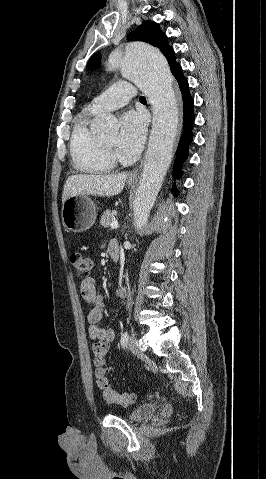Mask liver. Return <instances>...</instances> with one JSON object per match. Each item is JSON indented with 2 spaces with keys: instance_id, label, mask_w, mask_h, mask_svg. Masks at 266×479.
Segmentation results:
<instances>
[{
  "instance_id": "obj_1",
  "label": "liver",
  "mask_w": 266,
  "mask_h": 479,
  "mask_svg": "<svg viewBox=\"0 0 266 479\" xmlns=\"http://www.w3.org/2000/svg\"><path fill=\"white\" fill-rule=\"evenodd\" d=\"M127 173L105 175H71L66 180L62 194V203L71 196L80 194L114 196L123 190Z\"/></svg>"
}]
</instances>
